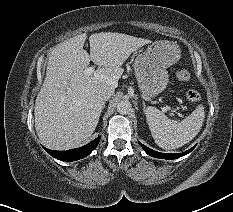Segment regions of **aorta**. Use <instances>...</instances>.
<instances>
[{
    "mask_svg": "<svg viewBox=\"0 0 233 212\" xmlns=\"http://www.w3.org/2000/svg\"><path fill=\"white\" fill-rule=\"evenodd\" d=\"M131 108H132V105L128 100H122L117 104V111L120 114H128Z\"/></svg>",
    "mask_w": 233,
    "mask_h": 212,
    "instance_id": "obj_1",
    "label": "aorta"
}]
</instances>
